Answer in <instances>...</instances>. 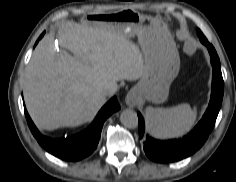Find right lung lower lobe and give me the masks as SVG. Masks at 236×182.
<instances>
[{
  "label": "right lung lower lobe",
  "mask_w": 236,
  "mask_h": 182,
  "mask_svg": "<svg viewBox=\"0 0 236 182\" xmlns=\"http://www.w3.org/2000/svg\"><path fill=\"white\" fill-rule=\"evenodd\" d=\"M39 37L38 41L43 37ZM25 109V106H24ZM120 109L116 97L110 99L99 111L91 126L85 131L64 139H50L42 136L25 109V116L32 134L38 143L52 155L66 161H78L90 155L96 148L104 121Z\"/></svg>",
  "instance_id": "98d812e1"
}]
</instances>
